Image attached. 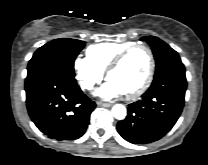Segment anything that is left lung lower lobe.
Listing matches in <instances>:
<instances>
[{
	"instance_id": "0a47b994",
	"label": "left lung lower lobe",
	"mask_w": 208,
	"mask_h": 165,
	"mask_svg": "<svg viewBox=\"0 0 208 165\" xmlns=\"http://www.w3.org/2000/svg\"><path fill=\"white\" fill-rule=\"evenodd\" d=\"M187 87L183 65L154 76L142 98L128 106V115L117 124L127 141L146 144L162 138L174 126L184 106Z\"/></svg>"
}]
</instances>
